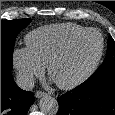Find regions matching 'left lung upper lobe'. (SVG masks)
<instances>
[{
    "instance_id": "1",
    "label": "left lung upper lobe",
    "mask_w": 115,
    "mask_h": 115,
    "mask_svg": "<svg viewBox=\"0 0 115 115\" xmlns=\"http://www.w3.org/2000/svg\"><path fill=\"white\" fill-rule=\"evenodd\" d=\"M109 74H115V41L111 36L108 37V50L104 62L89 79H95Z\"/></svg>"
}]
</instances>
